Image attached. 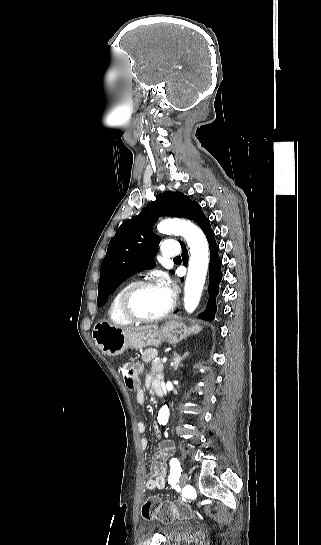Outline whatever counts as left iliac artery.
I'll list each match as a JSON object with an SVG mask.
<instances>
[{"mask_svg":"<svg viewBox=\"0 0 321 545\" xmlns=\"http://www.w3.org/2000/svg\"><path fill=\"white\" fill-rule=\"evenodd\" d=\"M181 473H182V468L180 466L179 461L176 458H172L170 460V476L168 479V483L178 481Z\"/></svg>","mask_w":321,"mask_h":545,"instance_id":"left-iliac-artery-1","label":"left iliac artery"}]
</instances>
